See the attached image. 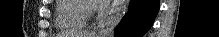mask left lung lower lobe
Listing matches in <instances>:
<instances>
[{
  "instance_id": "1",
  "label": "left lung lower lobe",
  "mask_w": 219,
  "mask_h": 37,
  "mask_svg": "<svg viewBox=\"0 0 219 37\" xmlns=\"http://www.w3.org/2000/svg\"><path fill=\"white\" fill-rule=\"evenodd\" d=\"M159 11V0H130L129 10L118 25L115 37H142Z\"/></svg>"
}]
</instances>
